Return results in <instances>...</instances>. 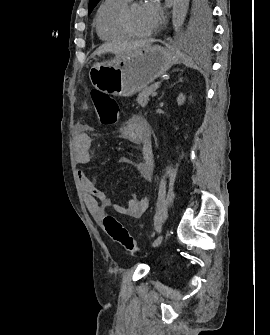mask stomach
I'll list each match as a JSON object with an SVG mask.
<instances>
[{
	"label": "stomach",
	"mask_w": 270,
	"mask_h": 335,
	"mask_svg": "<svg viewBox=\"0 0 270 335\" xmlns=\"http://www.w3.org/2000/svg\"><path fill=\"white\" fill-rule=\"evenodd\" d=\"M181 60L174 48L145 46L116 56L110 64H95L89 76L93 86L110 96H133L147 88L158 76L165 74Z\"/></svg>",
	"instance_id": "1"
}]
</instances>
